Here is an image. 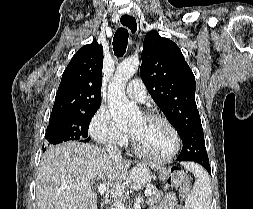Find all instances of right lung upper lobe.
Here are the masks:
<instances>
[{
  "label": "right lung upper lobe",
  "mask_w": 253,
  "mask_h": 209,
  "mask_svg": "<svg viewBox=\"0 0 253 209\" xmlns=\"http://www.w3.org/2000/svg\"><path fill=\"white\" fill-rule=\"evenodd\" d=\"M103 48L93 41L73 56L65 69L50 117L91 110L101 104Z\"/></svg>",
  "instance_id": "cb5924a9"
}]
</instances>
